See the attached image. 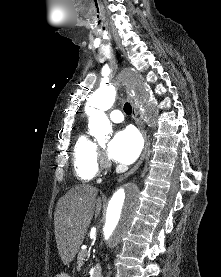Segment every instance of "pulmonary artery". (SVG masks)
Returning a JSON list of instances; mask_svg holds the SVG:
<instances>
[{"label":"pulmonary artery","mask_w":221,"mask_h":277,"mask_svg":"<svg viewBox=\"0 0 221 277\" xmlns=\"http://www.w3.org/2000/svg\"><path fill=\"white\" fill-rule=\"evenodd\" d=\"M110 120L114 123H120L124 120L123 114L120 110H113L109 114Z\"/></svg>","instance_id":"e3ab8cb5"}]
</instances>
